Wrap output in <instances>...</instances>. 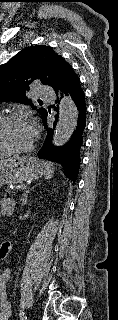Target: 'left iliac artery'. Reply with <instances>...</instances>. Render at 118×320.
<instances>
[{
    "instance_id": "44dca946",
    "label": "left iliac artery",
    "mask_w": 118,
    "mask_h": 320,
    "mask_svg": "<svg viewBox=\"0 0 118 320\" xmlns=\"http://www.w3.org/2000/svg\"><path fill=\"white\" fill-rule=\"evenodd\" d=\"M19 316L20 320H27L26 314L23 310L20 311Z\"/></svg>"
}]
</instances>
